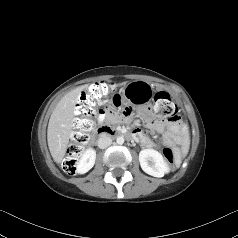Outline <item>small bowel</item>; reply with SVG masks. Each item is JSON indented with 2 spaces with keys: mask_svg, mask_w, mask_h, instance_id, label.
Masks as SVG:
<instances>
[{
  "mask_svg": "<svg viewBox=\"0 0 238 238\" xmlns=\"http://www.w3.org/2000/svg\"><path fill=\"white\" fill-rule=\"evenodd\" d=\"M153 112V107L150 104H145L140 113L145 118L147 125L155 132L162 133L163 145L170 148L184 149L187 146L188 138L185 128L179 120L164 123L160 121L157 115L150 114ZM106 117L105 113L99 115V121H103ZM137 136V141L147 148L155 145V142L141 131L134 132Z\"/></svg>",
  "mask_w": 238,
  "mask_h": 238,
  "instance_id": "1",
  "label": "small bowel"
}]
</instances>
